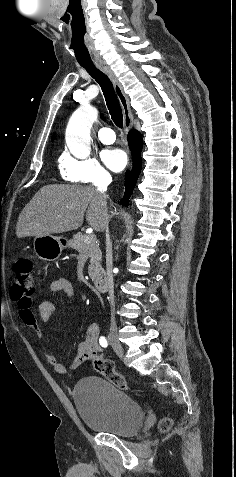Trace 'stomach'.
Masks as SVG:
<instances>
[{
	"mask_svg": "<svg viewBox=\"0 0 236 477\" xmlns=\"http://www.w3.org/2000/svg\"><path fill=\"white\" fill-rule=\"evenodd\" d=\"M69 242V241H68ZM57 236H38L34 239V251L44 261L57 260L69 243Z\"/></svg>",
	"mask_w": 236,
	"mask_h": 477,
	"instance_id": "obj_1",
	"label": "stomach"
}]
</instances>
